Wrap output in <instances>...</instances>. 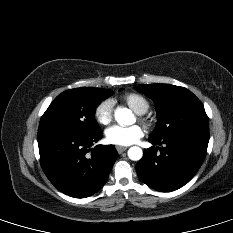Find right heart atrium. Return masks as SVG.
<instances>
[{
	"mask_svg": "<svg viewBox=\"0 0 233 233\" xmlns=\"http://www.w3.org/2000/svg\"><path fill=\"white\" fill-rule=\"evenodd\" d=\"M114 101L110 98L100 101L94 109V117L99 124L107 125L113 117Z\"/></svg>",
	"mask_w": 233,
	"mask_h": 233,
	"instance_id": "1",
	"label": "right heart atrium"
}]
</instances>
